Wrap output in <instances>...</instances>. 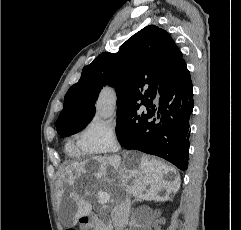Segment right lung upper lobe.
Returning <instances> with one entry per match:
<instances>
[{
	"label": "right lung upper lobe",
	"mask_w": 241,
	"mask_h": 230,
	"mask_svg": "<svg viewBox=\"0 0 241 230\" xmlns=\"http://www.w3.org/2000/svg\"><path fill=\"white\" fill-rule=\"evenodd\" d=\"M184 62L170 34L149 25L129 38L117 53L104 52L83 68L80 80L66 93L57 131L90 122L103 86L116 87L118 108L147 103L163 77Z\"/></svg>",
	"instance_id": "right-lung-upper-lobe-1"
}]
</instances>
